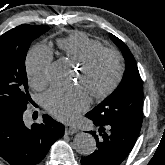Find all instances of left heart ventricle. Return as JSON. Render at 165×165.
I'll return each instance as SVG.
<instances>
[{
    "mask_svg": "<svg viewBox=\"0 0 165 165\" xmlns=\"http://www.w3.org/2000/svg\"><path fill=\"white\" fill-rule=\"evenodd\" d=\"M117 65L110 55L100 57L89 72L77 74V83L87 92H100L106 89L115 78Z\"/></svg>",
    "mask_w": 165,
    "mask_h": 165,
    "instance_id": "1",
    "label": "left heart ventricle"
}]
</instances>
